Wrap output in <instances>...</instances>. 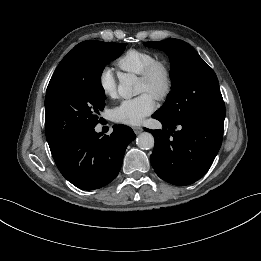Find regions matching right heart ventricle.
Returning <instances> with one entry per match:
<instances>
[{"instance_id": "obj_1", "label": "right heart ventricle", "mask_w": 261, "mask_h": 261, "mask_svg": "<svg viewBox=\"0 0 261 261\" xmlns=\"http://www.w3.org/2000/svg\"><path fill=\"white\" fill-rule=\"evenodd\" d=\"M155 59V54L150 51L129 49L116 60V65L124 72L140 75Z\"/></svg>"}]
</instances>
